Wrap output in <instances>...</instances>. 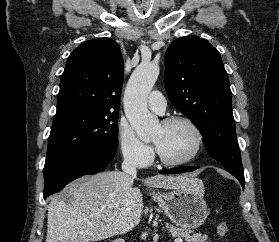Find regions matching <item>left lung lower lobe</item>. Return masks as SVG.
<instances>
[{
    "mask_svg": "<svg viewBox=\"0 0 279 242\" xmlns=\"http://www.w3.org/2000/svg\"><path fill=\"white\" fill-rule=\"evenodd\" d=\"M198 167H195V166H183V167H177V168H173V169H168V170H163V171H160V173H184V172H191V171H194L196 170ZM231 173L233 176H235L238 181L241 183V186L242 188L244 189V176H241V175H238V174H235V173H232V172H229Z\"/></svg>",
    "mask_w": 279,
    "mask_h": 242,
    "instance_id": "0a47b994",
    "label": "left lung lower lobe"
}]
</instances>
